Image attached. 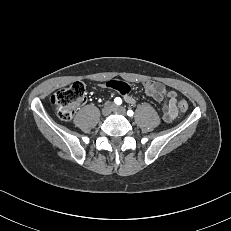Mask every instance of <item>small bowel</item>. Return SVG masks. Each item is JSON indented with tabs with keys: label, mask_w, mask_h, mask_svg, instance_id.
I'll list each match as a JSON object with an SVG mask.
<instances>
[{
	"label": "small bowel",
	"mask_w": 231,
	"mask_h": 231,
	"mask_svg": "<svg viewBox=\"0 0 231 231\" xmlns=\"http://www.w3.org/2000/svg\"><path fill=\"white\" fill-rule=\"evenodd\" d=\"M106 86L116 90L123 95L124 100L129 104H135L137 100L129 94L130 87L120 81L111 80L106 83ZM144 90L148 96L157 102H161L164 98L167 103L162 111L163 120L166 122L174 121L178 116L177 109V94L173 91H167L165 87L158 82L147 80L143 83Z\"/></svg>",
	"instance_id": "obj_1"
}]
</instances>
